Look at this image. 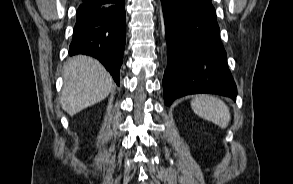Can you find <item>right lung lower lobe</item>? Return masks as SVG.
<instances>
[{"mask_svg":"<svg viewBox=\"0 0 293 184\" xmlns=\"http://www.w3.org/2000/svg\"><path fill=\"white\" fill-rule=\"evenodd\" d=\"M76 16L69 54L97 58L119 85L126 37L124 0H112L106 6L82 3Z\"/></svg>","mask_w":293,"mask_h":184,"instance_id":"right-lung-lower-lobe-1","label":"right lung lower lobe"}]
</instances>
